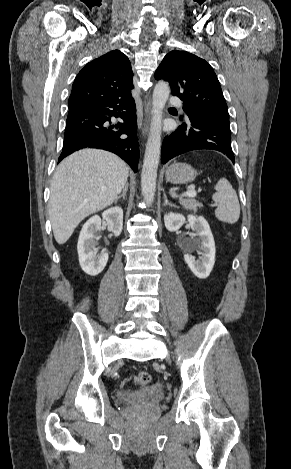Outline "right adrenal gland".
Returning a JSON list of instances; mask_svg holds the SVG:
<instances>
[{"instance_id": "right-adrenal-gland-1", "label": "right adrenal gland", "mask_w": 291, "mask_h": 469, "mask_svg": "<svg viewBox=\"0 0 291 469\" xmlns=\"http://www.w3.org/2000/svg\"><path fill=\"white\" fill-rule=\"evenodd\" d=\"M127 190H128V183L124 186V188H123V190H122V194L119 195V196L116 198V200H115L116 203H117L118 200L121 199V198H123V200H125V196H126Z\"/></svg>"}]
</instances>
